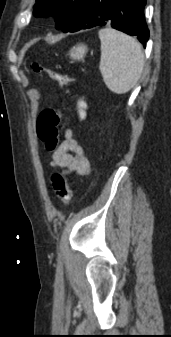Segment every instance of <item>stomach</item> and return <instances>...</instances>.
Instances as JSON below:
<instances>
[{"label": "stomach", "instance_id": "stomach-1", "mask_svg": "<svg viewBox=\"0 0 171 337\" xmlns=\"http://www.w3.org/2000/svg\"><path fill=\"white\" fill-rule=\"evenodd\" d=\"M87 53V47L85 45L74 46L70 50V56L72 59H82Z\"/></svg>", "mask_w": 171, "mask_h": 337}]
</instances>
